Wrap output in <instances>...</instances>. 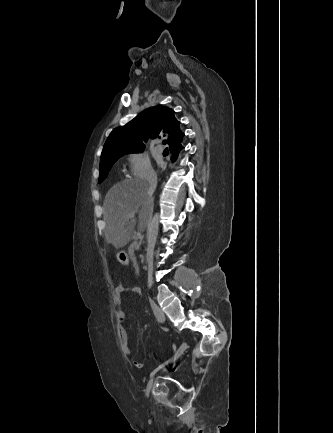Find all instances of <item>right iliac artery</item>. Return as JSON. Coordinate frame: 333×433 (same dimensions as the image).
Masks as SVG:
<instances>
[{
	"label": "right iliac artery",
	"instance_id": "right-iliac-artery-1",
	"mask_svg": "<svg viewBox=\"0 0 333 433\" xmlns=\"http://www.w3.org/2000/svg\"><path fill=\"white\" fill-rule=\"evenodd\" d=\"M173 350H174L175 355H176V345H175V344H173ZM184 350H185V349L182 348L181 351L183 352ZM175 355H174V358H175ZM172 360H173V358H170L169 360H167V361L164 362L163 364L159 365L155 370H153V371L151 372V374H150V378H152L153 375H154L158 370L164 368L165 365H168L169 362H171ZM149 392H150V389H149V388H146V395H147V396L149 395Z\"/></svg>",
	"mask_w": 333,
	"mask_h": 433
}]
</instances>
